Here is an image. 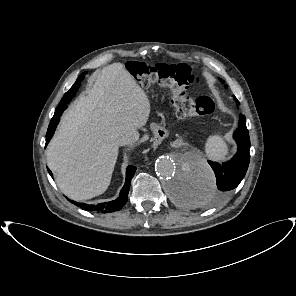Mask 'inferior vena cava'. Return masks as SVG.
<instances>
[{
	"instance_id": "obj_1",
	"label": "inferior vena cava",
	"mask_w": 296,
	"mask_h": 296,
	"mask_svg": "<svg viewBox=\"0 0 296 296\" xmlns=\"http://www.w3.org/2000/svg\"><path fill=\"white\" fill-rule=\"evenodd\" d=\"M117 142L120 146L131 144L134 142V136L133 135H124V136L120 137Z\"/></svg>"
}]
</instances>
